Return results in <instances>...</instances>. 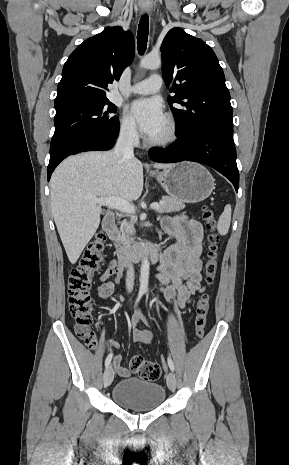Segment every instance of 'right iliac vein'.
Here are the masks:
<instances>
[{
  "label": "right iliac vein",
  "instance_id": "obj_1",
  "mask_svg": "<svg viewBox=\"0 0 289 465\" xmlns=\"http://www.w3.org/2000/svg\"><path fill=\"white\" fill-rule=\"evenodd\" d=\"M113 378H114V370L112 366L110 365L105 369V372L103 375L104 386L105 387L109 386L112 383Z\"/></svg>",
  "mask_w": 289,
  "mask_h": 465
}]
</instances>
